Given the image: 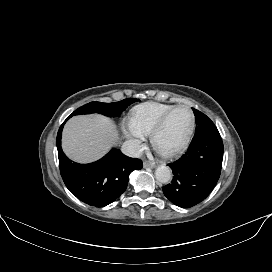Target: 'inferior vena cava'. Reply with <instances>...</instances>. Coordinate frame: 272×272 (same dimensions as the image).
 <instances>
[{
	"label": "inferior vena cava",
	"instance_id": "602c4592",
	"mask_svg": "<svg viewBox=\"0 0 272 272\" xmlns=\"http://www.w3.org/2000/svg\"><path fill=\"white\" fill-rule=\"evenodd\" d=\"M121 151L123 154L129 157L139 158L142 156V149L140 148V145L131 140L123 143Z\"/></svg>",
	"mask_w": 272,
	"mask_h": 272
}]
</instances>
